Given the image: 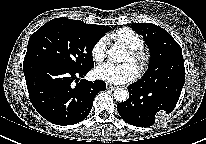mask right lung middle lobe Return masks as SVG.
Returning a JSON list of instances; mask_svg holds the SVG:
<instances>
[{"label": "right lung middle lobe", "instance_id": "1", "mask_svg": "<svg viewBox=\"0 0 206 144\" xmlns=\"http://www.w3.org/2000/svg\"><path fill=\"white\" fill-rule=\"evenodd\" d=\"M103 35L72 19H53L30 37L24 63L48 62L71 70L94 67L92 50Z\"/></svg>", "mask_w": 206, "mask_h": 144}]
</instances>
